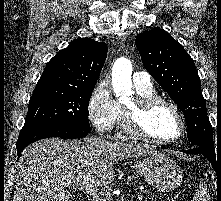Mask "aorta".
Listing matches in <instances>:
<instances>
[{
  "label": "aorta",
  "instance_id": "obj_1",
  "mask_svg": "<svg viewBox=\"0 0 221 201\" xmlns=\"http://www.w3.org/2000/svg\"><path fill=\"white\" fill-rule=\"evenodd\" d=\"M132 64L126 59H120L115 64L112 73L113 90L117 97L127 98L132 93Z\"/></svg>",
  "mask_w": 221,
  "mask_h": 201
}]
</instances>
